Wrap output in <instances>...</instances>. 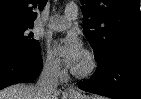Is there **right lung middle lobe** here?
<instances>
[{
    "mask_svg": "<svg viewBox=\"0 0 141 99\" xmlns=\"http://www.w3.org/2000/svg\"><path fill=\"white\" fill-rule=\"evenodd\" d=\"M33 23L4 22L0 23V53L31 52L40 50V44L30 31Z\"/></svg>",
    "mask_w": 141,
    "mask_h": 99,
    "instance_id": "right-lung-middle-lobe-1",
    "label": "right lung middle lobe"
}]
</instances>
